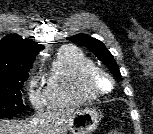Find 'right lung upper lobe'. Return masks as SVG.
I'll return each instance as SVG.
<instances>
[{
  "label": "right lung upper lobe",
  "instance_id": "1",
  "mask_svg": "<svg viewBox=\"0 0 153 134\" xmlns=\"http://www.w3.org/2000/svg\"><path fill=\"white\" fill-rule=\"evenodd\" d=\"M44 46L16 34L0 41V73L28 72L36 55Z\"/></svg>",
  "mask_w": 153,
  "mask_h": 134
}]
</instances>
